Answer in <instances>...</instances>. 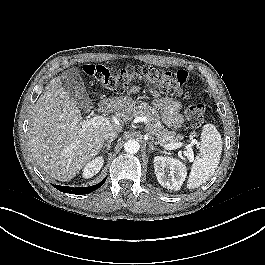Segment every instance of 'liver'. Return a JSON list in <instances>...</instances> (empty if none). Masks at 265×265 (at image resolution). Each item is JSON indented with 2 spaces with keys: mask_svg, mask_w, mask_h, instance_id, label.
Masks as SVG:
<instances>
[{
  "mask_svg": "<svg viewBox=\"0 0 265 265\" xmlns=\"http://www.w3.org/2000/svg\"><path fill=\"white\" fill-rule=\"evenodd\" d=\"M77 105L64 90L61 77L53 78L34 106L28 132L29 147L38 166L63 182L74 178L98 155L104 144L103 133L123 130L113 118H107L106 125L83 129ZM114 108H126L124 100H115Z\"/></svg>",
  "mask_w": 265,
  "mask_h": 265,
  "instance_id": "obj_1",
  "label": "liver"
}]
</instances>
